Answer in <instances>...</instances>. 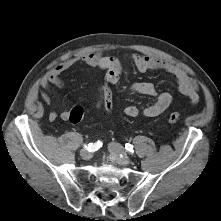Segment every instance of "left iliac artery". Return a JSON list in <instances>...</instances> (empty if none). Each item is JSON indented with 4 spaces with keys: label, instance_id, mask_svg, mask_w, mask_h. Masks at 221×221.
<instances>
[{
    "label": "left iliac artery",
    "instance_id": "obj_1",
    "mask_svg": "<svg viewBox=\"0 0 221 221\" xmlns=\"http://www.w3.org/2000/svg\"><path fill=\"white\" fill-rule=\"evenodd\" d=\"M125 148L130 152V153H133L134 150H133V145L127 143L125 144Z\"/></svg>",
    "mask_w": 221,
    "mask_h": 221
}]
</instances>
